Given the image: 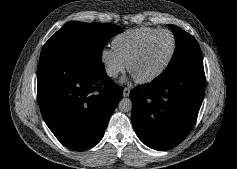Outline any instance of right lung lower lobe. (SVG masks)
I'll return each mask as SVG.
<instances>
[{
    "label": "right lung lower lobe",
    "instance_id": "obj_1",
    "mask_svg": "<svg viewBox=\"0 0 237 169\" xmlns=\"http://www.w3.org/2000/svg\"><path fill=\"white\" fill-rule=\"evenodd\" d=\"M38 102L55 137L66 147L84 151L103 137L122 98V87L107 76L102 61L40 57Z\"/></svg>",
    "mask_w": 237,
    "mask_h": 169
}]
</instances>
